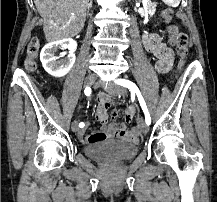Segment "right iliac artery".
<instances>
[{
	"mask_svg": "<svg viewBox=\"0 0 217 202\" xmlns=\"http://www.w3.org/2000/svg\"><path fill=\"white\" fill-rule=\"evenodd\" d=\"M85 95L90 96L91 94V88L90 87H86L84 90ZM85 126V124L83 122L79 123V127L83 128Z\"/></svg>",
	"mask_w": 217,
	"mask_h": 202,
	"instance_id": "right-iliac-artery-1",
	"label": "right iliac artery"
}]
</instances>
